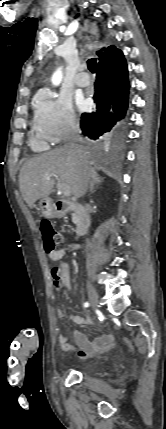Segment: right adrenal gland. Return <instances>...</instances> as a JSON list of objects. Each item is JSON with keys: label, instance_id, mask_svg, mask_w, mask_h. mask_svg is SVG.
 <instances>
[{"label": "right adrenal gland", "instance_id": "right-adrenal-gland-1", "mask_svg": "<svg viewBox=\"0 0 166 429\" xmlns=\"http://www.w3.org/2000/svg\"><path fill=\"white\" fill-rule=\"evenodd\" d=\"M103 181H104V178H101L98 175H95V178L93 179L92 183L90 184V193H93L95 185L100 184Z\"/></svg>", "mask_w": 166, "mask_h": 429}]
</instances>
